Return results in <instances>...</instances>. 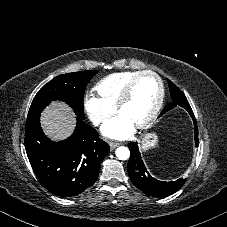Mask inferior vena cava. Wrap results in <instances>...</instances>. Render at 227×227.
Wrapping results in <instances>:
<instances>
[{
	"mask_svg": "<svg viewBox=\"0 0 227 227\" xmlns=\"http://www.w3.org/2000/svg\"><path fill=\"white\" fill-rule=\"evenodd\" d=\"M102 120L101 119H95L94 121H93V123H94V125H99L100 124V122H101Z\"/></svg>",
	"mask_w": 227,
	"mask_h": 227,
	"instance_id": "obj_1",
	"label": "inferior vena cava"
}]
</instances>
